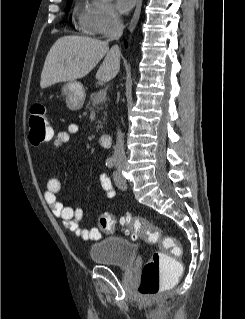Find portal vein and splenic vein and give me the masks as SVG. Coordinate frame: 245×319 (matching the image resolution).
<instances>
[{
	"mask_svg": "<svg viewBox=\"0 0 245 319\" xmlns=\"http://www.w3.org/2000/svg\"><path fill=\"white\" fill-rule=\"evenodd\" d=\"M106 95H107V90H106V89L100 90V91L98 92V94H97V97H96V101H95V102H96L97 104L100 103V102H102L103 100H105Z\"/></svg>",
	"mask_w": 245,
	"mask_h": 319,
	"instance_id": "18ae733b",
	"label": "portal vein and splenic vein"
}]
</instances>
